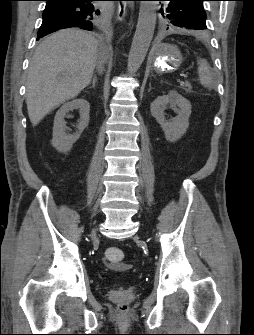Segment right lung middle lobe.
I'll return each mask as SVG.
<instances>
[{"label":"right lung middle lobe","mask_w":254,"mask_h":335,"mask_svg":"<svg viewBox=\"0 0 254 335\" xmlns=\"http://www.w3.org/2000/svg\"><path fill=\"white\" fill-rule=\"evenodd\" d=\"M99 14H100V11L99 10H96L94 16H93V21L96 22L98 19H99Z\"/></svg>","instance_id":"dd1d6c3e"}]
</instances>
